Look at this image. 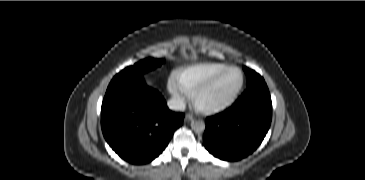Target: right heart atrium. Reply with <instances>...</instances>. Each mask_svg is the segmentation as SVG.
<instances>
[{
    "label": "right heart atrium",
    "instance_id": "d8ad5b80",
    "mask_svg": "<svg viewBox=\"0 0 365 180\" xmlns=\"http://www.w3.org/2000/svg\"><path fill=\"white\" fill-rule=\"evenodd\" d=\"M168 89L177 103H183L185 101L187 94L180 86L176 75L170 77L168 81Z\"/></svg>",
    "mask_w": 365,
    "mask_h": 180
}]
</instances>
